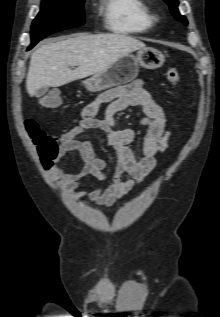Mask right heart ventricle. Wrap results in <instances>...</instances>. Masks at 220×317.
Wrapping results in <instances>:
<instances>
[{
    "label": "right heart ventricle",
    "instance_id": "right-heart-ventricle-1",
    "mask_svg": "<svg viewBox=\"0 0 220 317\" xmlns=\"http://www.w3.org/2000/svg\"><path fill=\"white\" fill-rule=\"evenodd\" d=\"M100 14L108 30L121 35L149 31L153 13L145 0H100Z\"/></svg>",
    "mask_w": 220,
    "mask_h": 317
}]
</instances>
